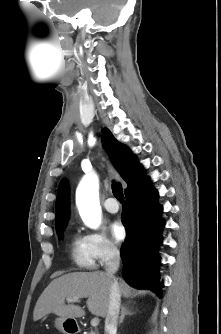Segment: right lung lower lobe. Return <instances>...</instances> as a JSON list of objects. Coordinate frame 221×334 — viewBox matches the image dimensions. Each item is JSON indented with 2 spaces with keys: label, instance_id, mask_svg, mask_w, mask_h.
I'll use <instances>...</instances> for the list:
<instances>
[{
  "label": "right lung lower lobe",
  "instance_id": "right-lung-lower-lobe-1",
  "mask_svg": "<svg viewBox=\"0 0 221 334\" xmlns=\"http://www.w3.org/2000/svg\"><path fill=\"white\" fill-rule=\"evenodd\" d=\"M125 196L126 208L121 217L127 232L121 247L123 277L131 286L151 289L161 297L163 284L158 276V247L162 243L165 222L160 217L162 206L156 201L158 193L146 178L125 192Z\"/></svg>",
  "mask_w": 221,
  "mask_h": 334
}]
</instances>
